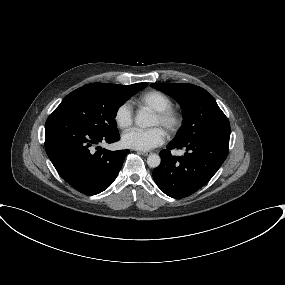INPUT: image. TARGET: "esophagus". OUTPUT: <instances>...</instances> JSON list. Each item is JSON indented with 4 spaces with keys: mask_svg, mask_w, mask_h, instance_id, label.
Segmentation results:
<instances>
[{
    "mask_svg": "<svg viewBox=\"0 0 285 285\" xmlns=\"http://www.w3.org/2000/svg\"><path fill=\"white\" fill-rule=\"evenodd\" d=\"M139 154L143 155V156H148L151 154L150 151H138Z\"/></svg>",
    "mask_w": 285,
    "mask_h": 285,
    "instance_id": "esophagus-1",
    "label": "esophagus"
}]
</instances>
